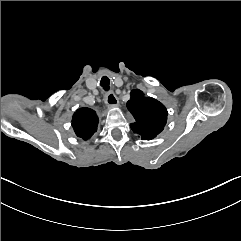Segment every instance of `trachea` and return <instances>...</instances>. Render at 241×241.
I'll list each match as a JSON object with an SVG mask.
<instances>
[{
  "mask_svg": "<svg viewBox=\"0 0 241 241\" xmlns=\"http://www.w3.org/2000/svg\"><path fill=\"white\" fill-rule=\"evenodd\" d=\"M109 85H110L109 78L107 76H103L101 78V86H103L105 90H109V88H110Z\"/></svg>",
  "mask_w": 241,
  "mask_h": 241,
  "instance_id": "3493384b",
  "label": "trachea"
}]
</instances>
